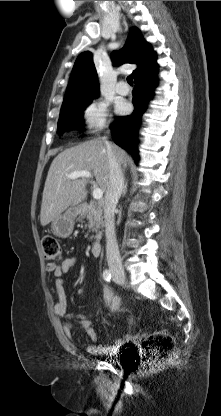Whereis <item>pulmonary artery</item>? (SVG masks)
Wrapping results in <instances>:
<instances>
[{"label": "pulmonary artery", "mask_w": 221, "mask_h": 416, "mask_svg": "<svg viewBox=\"0 0 221 416\" xmlns=\"http://www.w3.org/2000/svg\"><path fill=\"white\" fill-rule=\"evenodd\" d=\"M130 89L128 86L124 84L123 81H120L116 87V92L120 95H127Z\"/></svg>", "instance_id": "pulmonary-artery-1"}]
</instances>
